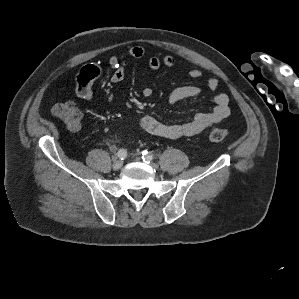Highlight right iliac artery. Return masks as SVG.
I'll use <instances>...</instances> for the list:
<instances>
[{"mask_svg":"<svg viewBox=\"0 0 299 299\" xmlns=\"http://www.w3.org/2000/svg\"><path fill=\"white\" fill-rule=\"evenodd\" d=\"M119 159L124 160L127 156V151L125 149H120L117 153Z\"/></svg>","mask_w":299,"mask_h":299,"instance_id":"82829eb1","label":"right iliac artery"}]
</instances>
